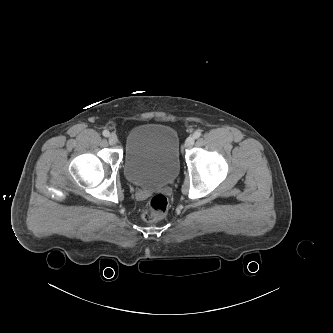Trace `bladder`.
<instances>
[{
  "label": "bladder",
  "instance_id": "31cf9c89",
  "mask_svg": "<svg viewBox=\"0 0 333 333\" xmlns=\"http://www.w3.org/2000/svg\"><path fill=\"white\" fill-rule=\"evenodd\" d=\"M180 139L177 130L164 123H144L132 128L126 138L123 172L140 187L170 184L180 169Z\"/></svg>",
  "mask_w": 333,
  "mask_h": 333
}]
</instances>
